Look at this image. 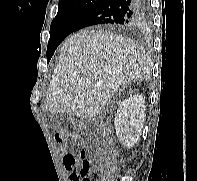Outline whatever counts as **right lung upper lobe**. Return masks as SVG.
<instances>
[{"label":"right lung upper lobe","mask_w":197,"mask_h":181,"mask_svg":"<svg viewBox=\"0 0 197 181\" xmlns=\"http://www.w3.org/2000/svg\"><path fill=\"white\" fill-rule=\"evenodd\" d=\"M101 0H59V4H58V11H63V10H67V9H71V8H75L77 6L80 5H84V4H90V5H95L98 2H100ZM139 26H129V27H125L122 30H134Z\"/></svg>","instance_id":"obj_1"}]
</instances>
